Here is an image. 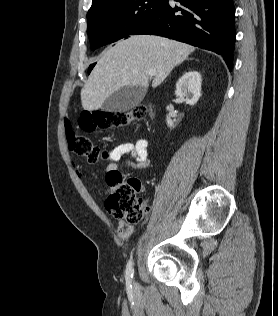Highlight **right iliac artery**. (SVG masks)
Instances as JSON below:
<instances>
[{"instance_id":"obj_1","label":"right iliac artery","mask_w":278,"mask_h":316,"mask_svg":"<svg viewBox=\"0 0 278 316\" xmlns=\"http://www.w3.org/2000/svg\"><path fill=\"white\" fill-rule=\"evenodd\" d=\"M134 275V270H133V261L132 259L128 262L127 267H126V277L128 280L132 279Z\"/></svg>"}]
</instances>
